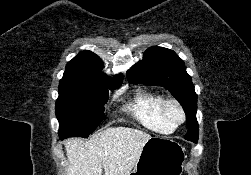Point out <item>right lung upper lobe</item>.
<instances>
[{
    "label": "right lung upper lobe",
    "mask_w": 251,
    "mask_h": 175,
    "mask_svg": "<svg viewBox=\"0 0 251 175\" xmlns=\"http://www.w3.org/2000/svg\"><path fill=\"white\" fill-rule=\"evenodd\" d=\"M103 62L91 51L80 52L67 65L60 83L90 87L118 88L123 80L122 74L112 80L102 73Z\"/></svg>",
    "instance_id": "obj_1"
}]
</instances>
